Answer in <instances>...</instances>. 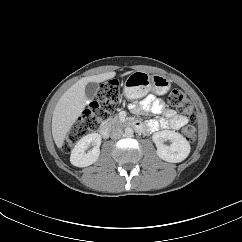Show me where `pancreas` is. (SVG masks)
<instances>
[{
    "label": "pancreas",
    "instance_id": "cf45deb5",
    "mask_svg": "<svg viewBox=\"0 0 242 242\" xmlns=\"http://www.w3.org/2000/svg\"><path fill=\"white\" fill-rule=\"evenodd\" d=\"M122 123H123V121H121L117 116H115L114 118L109 119V124L110 125H114V124L121 125Z\"/></svg>",
    "mask_w": 242,
    "mask_h": 242
}]
</instances>
